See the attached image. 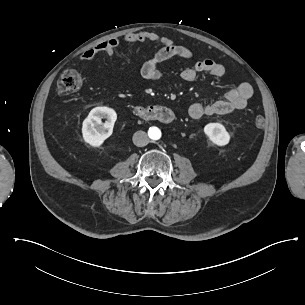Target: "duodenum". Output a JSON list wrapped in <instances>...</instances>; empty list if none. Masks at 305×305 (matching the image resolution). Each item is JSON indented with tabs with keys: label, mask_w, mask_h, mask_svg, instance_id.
Returning <instances> with one entry per match:
<instances>
[{
	"label": "duodenum",
	"mask_w": 305,
	"mask_h": 305,
	"mask_svg": "<svg viewBox=\"0 0 305 305\" xmlns=\"http://www.w3.org/2000/svg\"><path fill=\"white\" fill-rule=\"evenodd\" d=\"M136 116L147 122L170 124L174 119V114L165 106L160 105H136Z\"/></svg>",
	"instance_id": "410a0bca"
}]
</instances>
